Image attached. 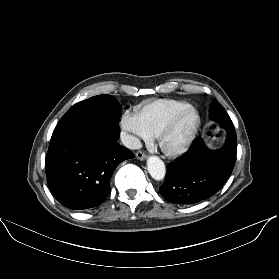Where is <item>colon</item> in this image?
I'll list each match as a JSON object with an SVG mask.
<instances>
[{"instance_id": "colon-1", "label": "colon", "mask_w": 279, "mask_h": 279, "mask_svg": "<svg viewBox=\"0 0 279 279\" xmlns=\"http://www.w3.org/2000/svg\"><path fill=\"white\" fill-rule=\"evenodd\" d=\"M206 136L209 138V139H213V138H215V133L213 132V130H211V131H208L207 133H206Z\"/></svg>"}]
</instances>
